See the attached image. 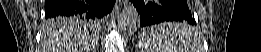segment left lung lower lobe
<instances>
[{"label": "left lung lower lobe", "instance_id": "1", "mask_svg": "<svg viewBox=\"0 0 261 52\" xmlns=\"http://www.w3.org/2000/svg\"><path fill=\"white\" fill-rule=\"evenodd\" d=\"M133 5L140 17L137 26H150L164 21H184L190 25L196 24L186 0H133ZM183 35L186 34L180 33L177 36L175 34L177 38Z\"/></svg>", "mask_w": 261, "mask_h": 52}]
</instances>
